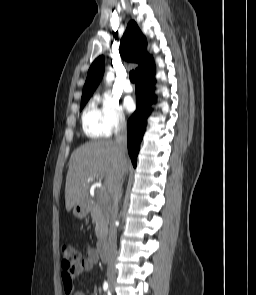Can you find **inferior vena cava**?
Returning <instances> with one entry per match:
<instances>
[{"label":"inferior vena cava","instance_id":"1","mask_svg":"<svg viewBox=\"0 0 256 295\" xmlns=\"http://www.w3.org/2000/svg\"><path fill=\"white\" fill-rule=\"evenodd\" d=\"M115 138L119 149L120 164L119 171H117V178L110 189L112 197V206L110 207V227L109 237L107 242V256H108V271L114 272V260L117 250V230L115 221L118 213V204L121 199V180L128 174V167H130L129 159H126L127 151V126L125 119L121 118L118 125L115 127Z\"/></svg>","mask_w":256,"mask_h":295}]
</instances>
